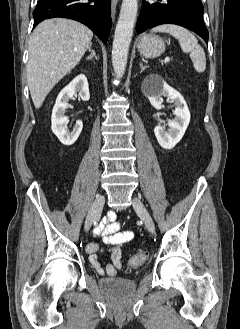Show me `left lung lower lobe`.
<instances>
[{
	"label": "left lung lower lobe",
	"mask_w": 240,
	"mask_h": 329,
	"mask_svg": "<svg viewBox=\"0 0 240 329\" xmlns=\"http://www.w3.org/2000/svg\"><path fill=\"white\" fill-rule=\"evenodd\" d=\"M163 3H142L137 21V33L162 24H176L188 28L208 42V30L203 22L200 0H159Z\"/></svg>",
	"instance_id": "0a47b994"
}]
</instances>
